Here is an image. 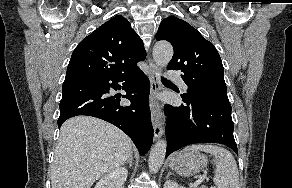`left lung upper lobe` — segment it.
Here are the masks:
<instances>
[{
    "label": "left lung upper lobe",
    "instance_id": "1",
    "mask_svg": "<svg viewBox=\"0 0 292 188\" xmlns=\"http://www.w3.org/2000/svg\"><path fill=\"white\" fill-rule=\"evenodd\" d=\"M156 38L173 46L168 69L182 72L188 86L182 97L229 101L220 56L215 46L195 28L177 17H167L161 22Z\"/></svg>",
    "mask_w": 292,
    "mask_h": 188
}]
</instances>
